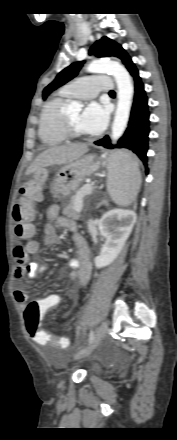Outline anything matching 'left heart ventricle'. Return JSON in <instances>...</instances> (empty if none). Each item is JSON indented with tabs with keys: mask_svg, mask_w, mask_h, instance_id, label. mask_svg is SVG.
<instances>
[{
	"mask_svg": "<svg viewBox=\"0 0 177 440\" xmlns=\"http://www.w3.org/2000/svg\"><path fill=\"white\" fill-rule=\"evenodd\" d=\"M67 116H68V118L70 119V121L72 122L74 128H75L78 132L83 133V132L80 130L79 126H78V121H79V117H80V112H79V111H69V112H67Z\"/></svg>",
	"mask_w": 177,
	"mask_h": 440,
	"instance_id": "b2bd125f",
	"label": "left heart ventricle"
}]
</instances>
